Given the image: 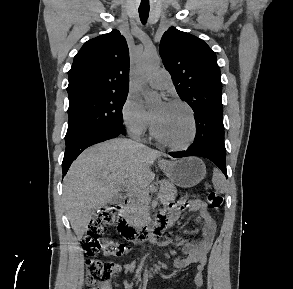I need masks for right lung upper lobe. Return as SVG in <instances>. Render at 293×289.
Listing matches in <instances>:
<instances>
[{"instance_id": "right-lung-upper-lobe-1", "label": "right lung upper lobe", "mask_w": 293, "mask_h": 289, "mask_svg": "<svg viewBox=\"0 0 293 289\" xmlns=\"http://www.w3.org/2000/svg\"><path fill=\"white\" fill-rule=\"evenodd\" d=\"M69 101L92 95L122 94L129 86V49L118 30L87 41L68 72Z\"/></svg>"}]
</instances>
